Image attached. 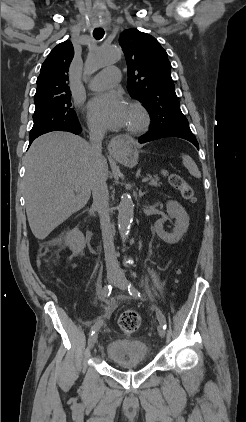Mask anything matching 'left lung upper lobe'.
<instances>
[{"instance_id":"left-lung-upper-lobe-1","label":"left lung upper lobe","mask_w":246,"mask_h":422,"mask_svg":"<svg viewBox=\"0 0 246 422\" xmlns=\"http://www.w3.org/2000/svg\"><path fill=\"white\" fill-rule=\"evenodd\" d=\"M119 44L128 68L127 89L150 112V130L189 128L180 109L166 51L151 35L136 29L125 30Z\"/></svg>"}]
</instances>
